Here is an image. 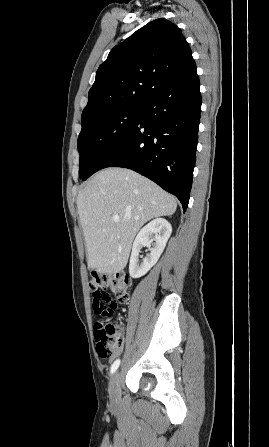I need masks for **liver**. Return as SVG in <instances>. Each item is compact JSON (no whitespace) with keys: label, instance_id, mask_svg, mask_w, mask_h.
Masks as SVG:
<instances>
[{"label":"liver","instance_id":"liver-1","mask_svg":"<svg viewBox=\"0 0 269 447\" xmlns=\"http://www.w3.org/2000/svg\"><path fill=\"white\" fill-rule=\"evenodd\" d=\"M87 247L88 267L99 273L124 269L132 241L142 225L172 216L177 202L144 176L125 168L94 174L77 198ZM113 216H119L114 222Z\"/></svg>","mask_w":269,"mask_h":447}]
</instances>
